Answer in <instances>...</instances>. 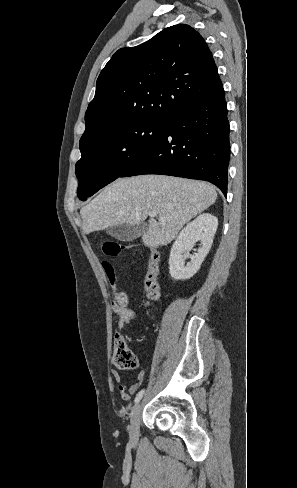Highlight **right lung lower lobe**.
Returning <instances> with one entry per match:
<instances>
[{
  "mask_svg": "<svg viewBox=\"0 0 297 488\" xmlns=\"http://www.w3.org/2000/svg\"><path fill=\"white\" fill-rule=\"evenodd\" d=\"M229 122L222 86L168 120L154 144L120 177L162 174L205 180L226 197Z\"/></svg>",
  "mask_w": 297,
  "mask_h": 488,
  "instance_id": "1",
  "label": "right lung lower lobe"
}]
</instances>
